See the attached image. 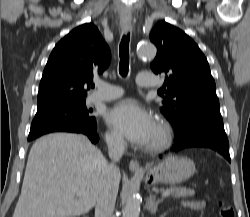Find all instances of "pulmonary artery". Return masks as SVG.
I'll return each mask as SVG.
<instances>
[{
    "label": "pulmonary artery",
    "mask_w": 250,
    "mask_h": 217,
    "mask_svg": "<svg viewBox=\"0 0 250 217\" xmlns=\"http://www.w3.org/2000/svg\"><path fill=\"white\" fill-rule=\"evenodd\" d=\"M136 83L139 87L150 88L157 85V80L151 73H140L137 76ZM96 91L89 97V101H111L122 96L123 90L115 85L99 81L96 83Z\"/></svg>",
    "instance_id": "1"
}]
</instances>
